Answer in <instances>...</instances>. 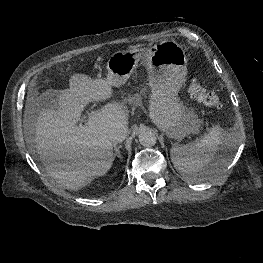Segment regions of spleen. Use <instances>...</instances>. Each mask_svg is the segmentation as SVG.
<instances>
[{"mask_svg": "<svg viewBox=\"0 0 263 263\" xmlns=\"http://www.w3.org/2000/svg\"><path fill=\"white\" fill-rule=\"evenodd\" d=\"M239 144V136L236 132H226L219 126H214L208 134L195 139L186 145H173L171 148V160L174 167L185 177L194 181H203L223 173L231 160L230 152ZM225 150V155L215 163L211 172H203L214 158L219 148Z\"/></svg>", "mask_w": 263, "mask_h": 263, "instance_id": "obj_1", "label": "spleen"}]
</instances>
